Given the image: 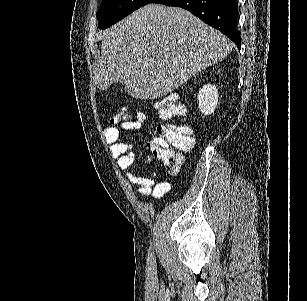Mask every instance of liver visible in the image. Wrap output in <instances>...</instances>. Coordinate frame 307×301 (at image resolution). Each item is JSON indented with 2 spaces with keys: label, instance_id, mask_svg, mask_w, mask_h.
I'll return each mask as SVG.
<instances>
[{
  "label": "liver",
  "instance_id": "liver-1",
  "mask_svg": "<svg viewBox=\"0 0 307 301\" xmlns=\"http://www.w3.org/2000/svg\"><path fill=\"white\" fill-rule=\"evenodd\" d=\"M98 88L125 84L133 98H160L230 54L233 42L180 6L145 4L102 30Z\"/></svg>",
  "mask_w": 307,
  "mask_h": 301
}]
</instances>
